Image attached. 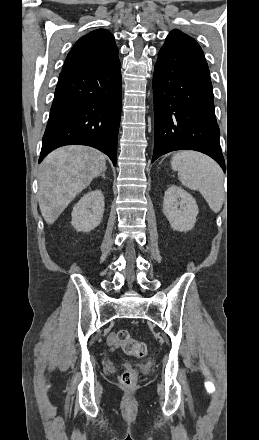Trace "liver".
<instances>
[{
  "instance_id": "liver-1",
  "label": "liver",
  "mask_w": 259,
  "mask_h": 440,
  "mask_svg": "<svg viewBox=\"0 0 259 440\" xmlns=\"http://www.w3.org/2000/svg\"><path fill=\"white\" fill-rule=\"evenodd\" d=\"M106 170V156L92 147L71 145L52 151L42 162L39 207L53 224L71 201Z\"/></svg>"
}]
</instances>
